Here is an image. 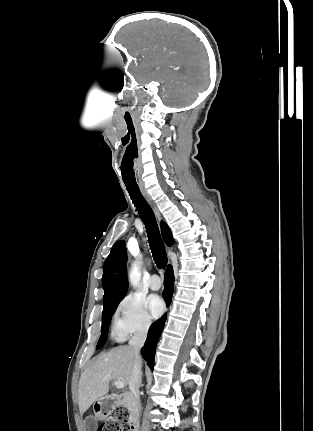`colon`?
<instances>
[{"label":"colon","instance_id":"obj_1","mask_svg":"<svg viewBox=\"0 0 313 431\" xmlns=\"http://www.w3.org/2000/svg\"><path fill=\"white\" fill-rule=\"evenodd\" d=\"M129 421V410L124 406H120L99 426L98 431H130Z\"/></svg>","mask_w":313,"mask_h":431}]
</instances>
